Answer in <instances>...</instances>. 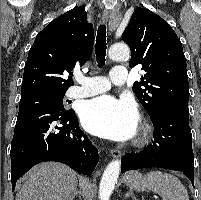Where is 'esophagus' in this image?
<instances>
[{"label":"esophagus","mask_w":201,"mask_h":200,"mask_svg":"<svg viewBox=\"0 0 201 200\" xmlns=\"http://www.w3.org/2000/svg\"><path fill=\"white\" fill-rule=\"evenodd\" d=\"M111 16H112L111 12L108 11V10H105V11L103 12V14H102V19H103V21L108 22L109 19L111 18ZM121 154H122L121 151L118 150V149H112V150L110 151V155H111V157H113V158H119V157L121 156Z\"/></svg>","instance_id":"esophagus-1"}]
</instances>
